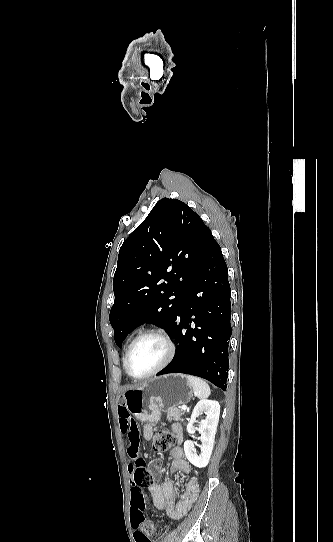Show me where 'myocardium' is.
I'll return each instance as SVG.
<instances>
[{
	"mask_svg": "<svg viewBox=\"0 0 333 542\" xmlns=\"http://www.w3.org/2000/svg\"><path fill=\"white\" fill-rule=\"evenodd\" d=\"M147 337H154V338H157V339H159V340H161L163 342V344L165 346V350H166L165 357H164L163 361L154 370H152L149 373H147L145 375H142V376H134L129 372L128 360H129L130 354H131L134 346L140 340H142L144 338H147ZM174 355H175V345H174L171 337L169 336V334L166 331H164L162 329H147V330H144L143 332H141L139 335H137L133 339V341L130 343V345H129L128 349H127V352L125 354V358H124V369H125L126 373L128 374V376L131 377L132 379H135V380L147 379V378H149L151 376H154L157 373L161 372L163 369H165L171 363L172 359L174 358Z\"/></svg>",
	"mask_w": 333,
	"mask_h": 542,
	"instance_id": "1",
	"label": "myocardium"
}]
</instances>
